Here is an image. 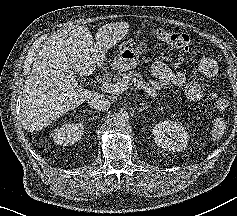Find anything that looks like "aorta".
I'll return each instance as SVG.
<instances>
[{
  "instance_id": "aorta-1",
  "label": "aorta",
  "mask_w": 237,
  "mask_h": 216,
  "mask_svg": "<svg viewBox=\"0 0 237 216\" xmlns=\"http://www.w3.org/2000/svg\"><path fill=\"white\" fill-rule=\"evenodd\" d=\"M129 123V115L126 112H117L113 117V125L117 128H124Z\"/></svg>"
}]
</instances>
